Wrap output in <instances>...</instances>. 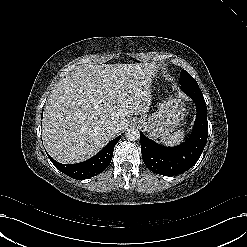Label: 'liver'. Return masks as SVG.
<instances>
[{"instance_id":"1","label":"liver","mask_w":247,"mask_h":247,"mask_svg":"<svg viewBox=\"0 0 247 247\" xmlns=\"http://www.w3.org/2000/svg\"><path fill=\"white\" fill-rule=\"evenodd\" d=\"M152 64L88 65L59 81L47 99L42 139L49 155L64 164L98 153L129 124L130 115L151 104ZM119 124L117 132L108 126Z\"/></svg>"}]
</instances>
